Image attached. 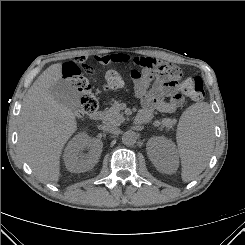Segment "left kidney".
<instances>
[{"label":"left kidney","instance_id":"5707ae66","mask_svg":"<svg viewBox=\"0 0 245 245\" xmlns=\"http://www.w3.org/2000/svg\"><path fill=\"white\" fill-rule=\"evenodd\" d=\"M147 154L154 166L163 173H173L178 167L175 145L165 137H152L147 142Z\"/></svg>","mask_w":245,"mask_h":245}]
</instances>
